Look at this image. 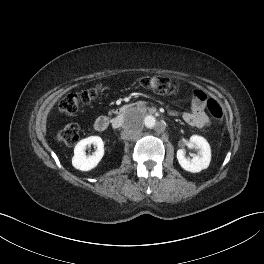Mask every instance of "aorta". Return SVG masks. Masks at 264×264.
<instances>
[{
  "instance_id": "1",
  "label": "aorta",
  "mask_w": 264,
  "mask_h": 264,
  "mask_svg": "<svg viewBox=\"0 0 264 264\" xmlns=\"http://www.w3.org/2000/svg\"><path fill=\"white\" fill-rule=\"evenodd\" d=\"M142 123L149 129L154 128L157 124L155 117L152 115L145 116L142 120Z\"/></svg>"
}]
</instances>
